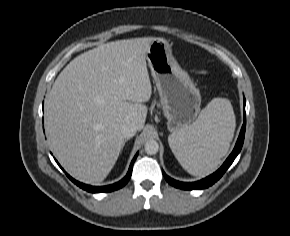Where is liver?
<instances>
[{"mask_svg":"<svg viewBox=\"0 0 290 236\" xmlns=\"http://www.w3.org/2000/svg\"><path fill=\"white\" fill-rule=\"evenodd\" d=\"M154 37L102 44L74 58L45 102L49 145L75 179L100 184L123 148L121 127L145 124L152 94L146 53Z\"/></svg>","mask_w":290,"mask_h":236,"instance_id":"6515ba94","label":"liver"}]
</instances>
